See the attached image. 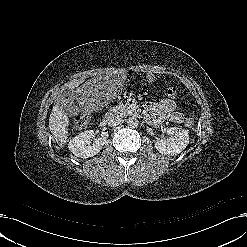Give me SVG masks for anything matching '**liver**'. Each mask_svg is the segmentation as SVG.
Returning <instances> with one entry per match:
<instances>
[{"label": "liver", "mask_w": 247, "mask_h": 247, "mask_svg": "<svg viewBox=\"0 0 247 247\" xmlns=\"http://www.w3.org/2000/svg\"><path fill=\"white\" fill-rule=\"evenodd\" d=\"M82 80H73L69 83V88H75ZM60 97H58L55 101V105L52 108V112L49 117V129L55 138L57 144L62 148L67 143L68 138V129L69 126V117L68 114L65 113L63 108L60 106Z\"/></svg>", "instance_id": "6515ba94"}]
</instances>
